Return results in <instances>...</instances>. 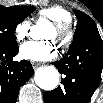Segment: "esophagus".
<instances>
[{"mask_svg":"<svg viewBox=\"0 0 103 103\" xmlns=\"http://www.w3.org/2000/svg\"><path fill=\"white\" fill-rule=\"evenodd\" d=\"M41 65L39 62H32V66L34 69L38 68Z\"/></svg>","mask_w":103,"mask_h":103,"instance_id":"1","label":"esophagus"}]
</instances>
